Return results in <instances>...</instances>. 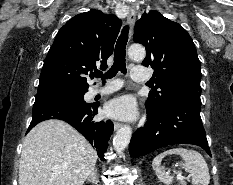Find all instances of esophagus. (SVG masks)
I'll return each mask as SVG.
<instances>
[{"label": "esophagus", "instance_id": "34e87169", "mask_svg": "<svg viewBox=\"0 0 233 185\" xmlns=\"http://www.w3.org/2000/svg\"><path fill=\"white\" fill-rule=\"evenodd\" d=\"M136 9L134 6H131L127 15V24L129 26H132L135 22L136 19ZM131 35V34H130ZM120 127H122V124L119 122L114 123V130H118Z\"/></svg>", "mask_w": 233, "mask_h": 185}]
</instances>
